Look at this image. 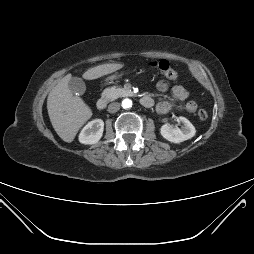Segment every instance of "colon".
<instances>
[{
  "label": "colon",
  "mask_w": 254,
  "mask_h": 254,
  "mask_svg": "<svg viewBox=\"0 0 254 254\" xmlns=\"http://www.w3.org/2000/svg\"><path fill=\"white\" fill-rule=\"evenodd\" d=\"M152 67L158 70L167 79L176 81L178 79V73L171 67L170 63L166 60H156L151 63ZM198 117L202 121L208 119V113L204 109L198 111Z\"/></svg>",
  "instance_id": "obj_1"
}]
</instances>
